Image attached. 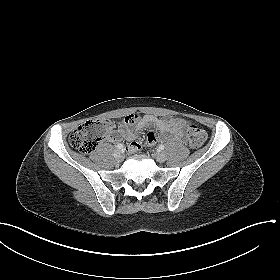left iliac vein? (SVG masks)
<instances>
[{
    "mask_svg": "<svg viewBox=\"0 0 280 280\" xmlns=\"http://www.w3.org/2000/svg\"><path fill=\"white\" fill-rule=\"evenodd\" d=\"M153 157L160 163H163L166 160V156L161 152L154 153Z\"/></svg>",
    "mask_w": 280,
    "mask_h": 280,
    "instance_id": "left-iliac-vein-1",
    "label": "left iliac vein"
}]
</instances>
